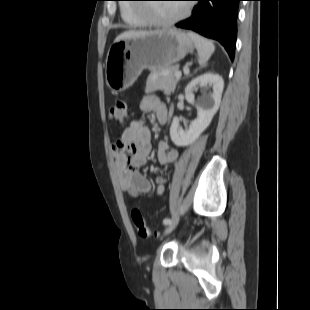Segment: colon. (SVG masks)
I'll list each match as a JSON object with an SVG mask.
<instances>
[{"label": "colon", "instance_id": "colon-1", "mask_svg": "<svg viewBox=\"0 0 310 310\" xmlns=\"http://www.w3.org/2000/svg\"><path fill=\"white\" fill-rule=\"evenodd\" d=\"M127 104L124 100H118L109 110V118L118 123L125 124L127 121ZM131 219L137 229L138 234L143 238H151L155 235L154 231L146 223L142 213L138 208L131 210Z\"/></svg>", "mask_w": 310, "mask_h": 310}]
</instances>
